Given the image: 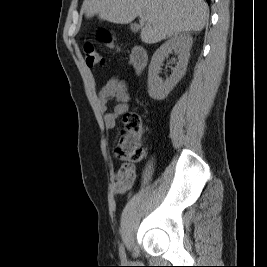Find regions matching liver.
<instances>
[{"instance_id":"obj_1","label":"liver","mask_w":267,"mask_h":267,"mask_svg":"<svg viewBox=\"0 0 267 267\" xmlns=\"http://www.w3.org/2000/svg\"><path fill=\"white\" fill-rule=\"evenodd\" d=\"M82 12L87 18L127 24L139 17L140 37L154 44L166 38L201 31L208 18L204 0H84Z\"/></svg>"}]
</instances>
